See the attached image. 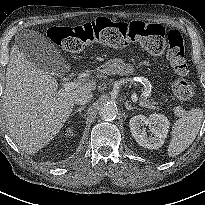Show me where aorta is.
<instances>
[{"mask_svg":"<svg viewBox=\"0 0 205 205\" xmlns=\"http://www.w3.org/2000/svg\"><path fill=\"white\" fill-rule=\"evenodd\" d=\"M117 115V109L112 104H106L100 108L99 116L102 120L111 121L115 119Z\"/></svg>","mask_w":205,"mask_h":205,"instance_id":"obj_1","label":"aorta"}]
</instances>
